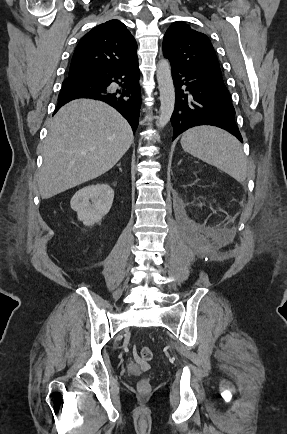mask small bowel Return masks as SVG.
Returning a JSON list of instances; mask_svg holds the SVG:
<instances>
[{
    "instance_id": "obj_1",
    "label": "small bowel",
    "mask_w": 287,
    "mask_h": 434,
    "mask_svg": "<svg viewBox=\"0 0 287 434\" xmlns=\"http://www.w3.org/2000/svg\"><path fill=\"white\" fill-rule=\"evenodd\" d=\"M139 366L141 367V368H145L146 367V364H144V363H139Z\"/></svg>"
}]
</instances>
